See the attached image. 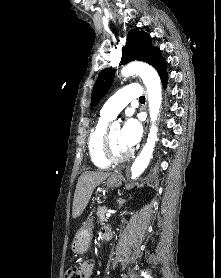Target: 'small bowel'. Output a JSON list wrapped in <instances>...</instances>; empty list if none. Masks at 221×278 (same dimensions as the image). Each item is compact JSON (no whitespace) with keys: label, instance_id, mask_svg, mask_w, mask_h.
Wrapping results in <instances>:
<instances>
[{"label":"small bowel","instance_id":"c3829d8e","mask_svg":"<svg viewBox=\"0 0 221 278\" xmlns=\"http://www.w3.org/2000/svg\"><path fill=\"white\" fill-rule=\"evenodd\" d=\"M81 269L84 273V278H91L95 269V262L92 260H88L82 263Z\"/></svg>","mask_w":221,"mask_h":278}]
</instances>
